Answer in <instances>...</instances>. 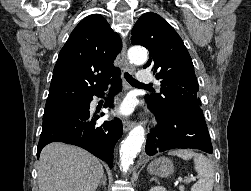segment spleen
Returning a JSON list of instances; mask_svg holds the SVG:
<instances>
[{
    "label": "spleen",
    "mask_w": 251,
    "mask_h": 191,
    "mask_svg": "<svg viewBox=\"0 0 251 191\" xmlns=\"http://www.w3.org/2000/svg\"><path fill=\"white\" fill-rule=\"evenodd\" d=\"M169 155H178L182 159H194V169L198 173L199 181L194 183L191 191H212L214 181L213 165L203 153H196L193 149H174L168 151Z\"/></svg>",
    "instance_id": "1"
}]
</instances>
